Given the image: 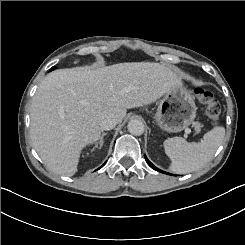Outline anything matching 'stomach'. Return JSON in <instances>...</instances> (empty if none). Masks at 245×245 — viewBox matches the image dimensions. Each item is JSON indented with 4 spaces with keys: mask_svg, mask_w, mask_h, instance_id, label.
Segmentation results:
<instances>
[{
    "mask_svg": "<svg viewBox=\"0 0 245 245\" xmlns=\"http://www.w3.org/2000/svg\"><path fill=\"white\" fill-rule=\"evenodd\" d=\"M197 107L190 91L182 85L168 90L154 116L156 124L167 132H180L196 117Z\"/></svg>",
    "mask_w": 245,
    "mask_h": 245,
    "instance_id": "obj_1",
    "label": "stomach"
}]
</instances>
